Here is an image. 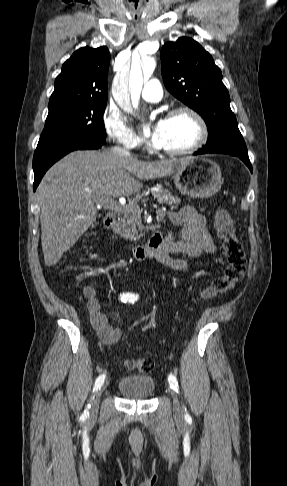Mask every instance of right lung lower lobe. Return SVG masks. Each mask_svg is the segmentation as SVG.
I'll return each instance as SVG.
<instances>
[{"instance_id":"obj_1","label":"right lung lower lobe","mask_w":287,"mask_h":486,"mask_svg":"<svg viewBox=\"0 0 287 486\" xmlns=\"http://www.w3.org/2000/svg\"><path fill=\"white\" fill-rule=\"evenodd\" d=\"M105 143H70L49 148L36 149L33 157L35 191L48 168L60 158L74 150L98 149Z\"/></svg>"}]
</instances>
